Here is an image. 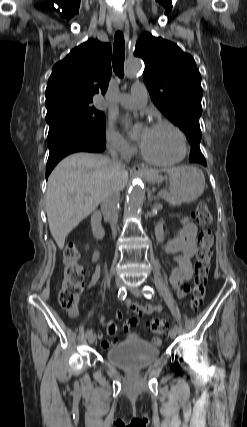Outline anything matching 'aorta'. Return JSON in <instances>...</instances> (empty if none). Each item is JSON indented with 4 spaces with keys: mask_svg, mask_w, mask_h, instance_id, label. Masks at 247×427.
Listing matches in <instances>:
<instances>
[{
    "mask_svg": "<svg viewBox=\"0 0 247 427\" xmlns=\"http://www.w3.org/2000/svg\"><path fill=\"white\" fill-rule=\"evenodd\" d=\"M142 69V63L138 58H130L126 62L125 74L128 78L135 77ZM144 189L138 180H134L127 194L128 211L136 215L143 205Z\"/></svg>",
    "mask_w": 247,
    "mask_h": 427,
    "instance_id": "aorta-1",
    "label": "aorta"
}]
</instances>
